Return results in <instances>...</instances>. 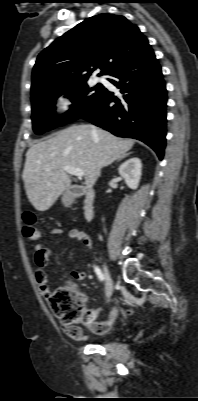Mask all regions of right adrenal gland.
<instances>
[{"label":"right adrenal gland","instance_id":"1","mask_svg":"<svg viewBox=\"0 0 198 401\" xmlns=\"http://www.w3.org/2000/svg\"><path fill=\"white\" fill-rule=\"evenodd\" d=\"M130 154H131V152H130V153H128L126 156H128V155H130ZM123 158H124V157H123ZM123 158H121V159L117 160V162L121 161Z\"/></svg>","mask_w":198,"mask_h":401}]
</instances>
